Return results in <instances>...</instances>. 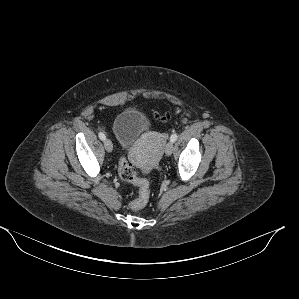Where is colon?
I'll use <instances>...</instances> for the list:
<instances>
[{"mask_svg":"<svg viewBox=\"0 0 299 299\" xmlns=\"http://www.w3.org/2000/svg\"><path fill=\"white\" fill-rule=\"evenodd\" d=\"M158 118L162 121L167 120V115H159ZM119 174L120 177L130 182L138 188V197L129 203V207L132 210L142 209L149 199V183L146 179L139 178L136 174L135 168L126 159L122 158L119 162Z\"/></svg>","mask_w":299,"mask_h":299,"instance_id":"1","label":"colon"}]
</instances>
